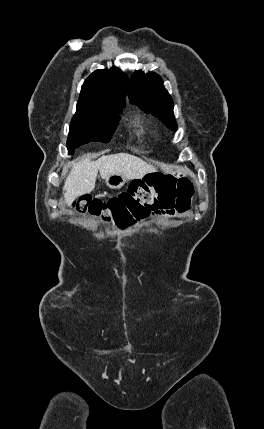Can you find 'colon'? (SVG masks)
Listing matches in <instances>:
<instances>
[{"label": "colon", "mask_w": 264, "mask_h": 429, "mask_svg": "<svg viewBox=\"0 0 264 429\" xmlns=\"http://www.w3.org/2000/svg\"><path fill=\"white\" fill-rule=\"evenodd\" d=\"M194 190L189 181L169 178L135 181L116 197L104 202L81 197L75 203L79 213H89L106 223L127 226L150 213L185 212L191 206Z\"/></svg>", "instance_id": "obj_1"}]
</instances>
